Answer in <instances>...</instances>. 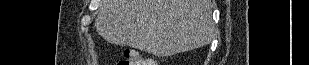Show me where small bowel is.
Returning <instances> with one entry per match:
<instances>
[{
  "label": "small bowel",
  "instance_id": "obj_1",
  "mask_svg": "<svg viewBox=\"0 0 309 65\" xmlns=\"http://www.w3.org/2000/svg\"><path fill=\"white\" fill-rule=\"evenodd\" d=\"M152 62H154V61H149V62H147V63H152Z\"/></svg>",
  "mask_w": 309,
  "mask_h": 65
}]
</instances>
